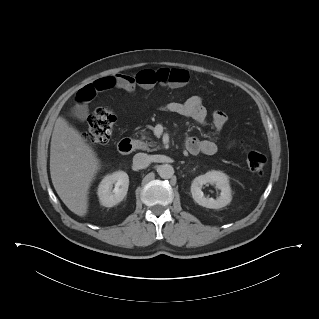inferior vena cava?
<instances>
[{
    "label": "inferior vena cava",
    "mask_w": 319,
    "mask_h": 319,
    "mask_svg": "<svg viewBox=\"0 0 319 319\" xmlns=\"http://www.w3.org/2000/svg\"><path fill=\"white\" fill-rule=\"evenodd\" d=\"M150 162V157L146 153H137L133 157V164L140 169L148 167Z\"/></svg>",
    "instance_id": "602c4592"
}]
</instances>
